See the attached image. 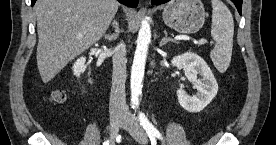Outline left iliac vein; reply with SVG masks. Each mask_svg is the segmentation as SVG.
<instances>
[{"label":"left iliac vein","instance_id":"left-iliac-vein-1","mask_svg":"<svg viewBox=\"0 0 276 145\" xmlns=\"http://www.w3.org/2000/svg\"><path fill=\"white\" fill-rule=\"evenodd\" d=\"M130 135L139 143H147V135L139 123L138 119L133 114H127L121 125Z\"/></svg>","mask_w":276,"mask_h":145}]
</instances>
